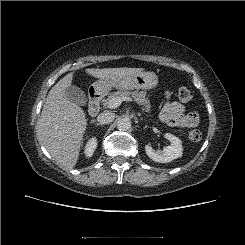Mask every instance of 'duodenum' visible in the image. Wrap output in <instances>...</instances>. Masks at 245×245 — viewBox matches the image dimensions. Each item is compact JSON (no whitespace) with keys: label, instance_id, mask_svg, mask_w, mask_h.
<instances>
[{"label":"duodenum","instance_id":"410a0bca","mask_svg":"<svg viewBox=\"0 0 245 245\" xmlns=\"http://www.w3.org/2000/svg\"><path fill=\"white\" fill-rule=\"evenodd\" d=\"M101 93L99 91H91L89 95L88 111L91 116H96L100 111Z\"/></svg>","mask_w":245,"mask_h":245}]
</instances>
